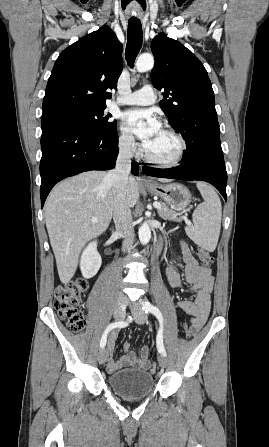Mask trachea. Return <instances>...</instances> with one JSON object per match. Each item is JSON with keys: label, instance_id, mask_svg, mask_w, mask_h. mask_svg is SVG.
Returning a JSON list of instances; mask_svg holds the SVG:
<instances>
[{"label": "trachea", "instance_id": "trachea-1", "mask_svg": "<svg viewBox=\"0 0 269 447\" xmlns=\"http://www.w3.org/2000/svg\"><path fill=\"white\" fill-rule=\"evenodd\" d=\"M142 37L141 22L139 20L129 21L125 57L130 67L134 66V61L142 46Z\"/></svg>", "mask_w": 269, "mask_h": 447}]
</instances>
